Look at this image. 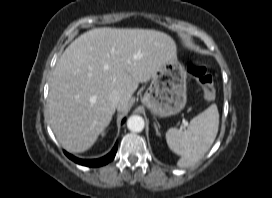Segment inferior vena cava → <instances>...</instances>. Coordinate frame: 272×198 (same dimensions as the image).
Returning <instances> with one entry per match:
<instances>
[{"mask_svg":"<svg viewBox=\"0 0 272 198\" xmlns=\"http://www.w3.org/2000/svg\"><path fill=\"white\" fill-rule=\"evenodd\" d=\"M109 100L114 106H117L120 103V100H121V96H120L119 92L118 91H113L109 95Z\"/></svg>","mask_w":272,"mask_h":198,"instance_id":"1","label":"inferior vena cava"}]
</instances>
